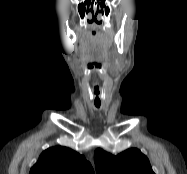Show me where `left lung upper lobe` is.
I'll use <instances>...</instances> for the list:
<instances>
[{
	"mask_svg": "<svg viewBox=\"0 0 187 174\" xmlns=\"http://www.w3.org/2000/svg\"><path fill=\"white\" fill-rule=\"evenodd\" d=\"M94 161L97 174H155L147 157L136 148L117 156L97 149Z\"/></svg>",
	"mask_w": 187,
	"mask_h": 174,
	"instance_id": "obj_1",
	"label": "left lung upper lobe"
}]
</instances>
